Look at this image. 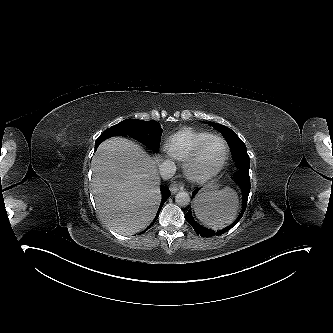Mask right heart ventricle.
Listing matches in <instances>:
<instances>
[{
	"instance_id": "obj_1",
	"label": "right heart ventricle",
	"mask_w": 333,
	"mask_h": 333,
	"mask_svg": "<svg viewBox=\"0 0 333 333\" xmlns=\"http://www.w3.org/2000/svg\"><path fill=\"white\" fill-rule=\"evenodd\" d=\"M211 134L191 128L182 129L171 135L167 140V149L171 156L185 161L205 138Z\"/></svg>"
}]
</instances>
